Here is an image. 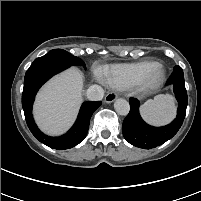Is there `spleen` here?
I'll return each mask as SVG.
<instances>
[{"label": "spleen", "mask_w": 201, "mask_h": 201, "mask_svg": "<svg viewBox=\"0 0 201 201\" xmlns=\"http://www.w3.org/2000/svg\"><path fill=\"white\" fill-rule=\"evenodd\" d=\"M140 112L145 121L152 125H165L171 122L176 115L174 97L170 94H159L154 99L147 100Z\"/></svg>", "instance_id": "obj_1"}]
</instances>
